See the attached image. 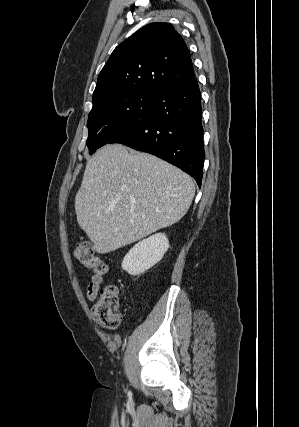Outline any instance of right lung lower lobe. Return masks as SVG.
<instances>
[{
	"label": "right lung lower lobe",
	"mask_w": 299,
	"mask_h": 427,
	"mask_svg": "<svg viewBox=\"0 0 299 427\" xmlns=\"http://www.w3.org/2000/svg\"><path fill=\"white\" fill-rule=\"evenodd\" d=\"M201 95L197 81L157 93L146 111L108 143L160 157L190 174L199 187L204 163Z\"/></svg>",
	"instance_id": "obj_1"
}]
</instances>
